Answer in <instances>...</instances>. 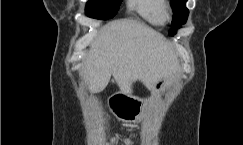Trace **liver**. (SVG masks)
<instances>
[{
	"instance_id": "1",
	"label": "liver",
	"mask_w": 243,
	"mask_h": 145,
	"mask_svg": "<svg viewBox=\"0 0 243 145\" xmlns=\"http://www.w3.org/2000/svg\"><path fill=\"white\" fill-rule=\"evenodd\" d=\"M176 65L175 52L158 32L140 21L121 19L93 41L82 71L91 92L102 91L111 75L122 91L131 92L136 81L152 89Z\"/></svg>"
}]
</instances>
